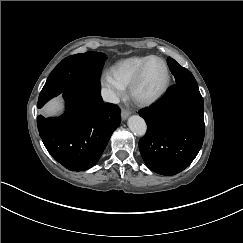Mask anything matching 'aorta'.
I'll return each mask as SVG.
<instances>
[{"mask_svg":"<svg viewBox=\"0 0 243 243\" xmlns=\"http://www.w3.org/2000/svg\"><path fill=\"white\" fill-rule=\"evenodd\" d=\"M127 124L130 131L135 135H139V136L145 135L147 130V125L145 120L142 117L138 115H133L129 117Z\"/></svg>","mask_w":243,"mask_h":243,"instance_id":"obj_1","label":"aorta"}]
</instances>
